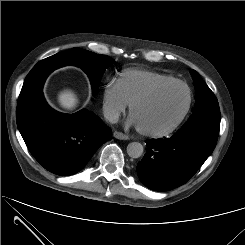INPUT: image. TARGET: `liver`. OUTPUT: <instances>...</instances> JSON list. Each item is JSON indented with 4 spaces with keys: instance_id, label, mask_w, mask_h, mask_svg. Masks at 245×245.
Listing matches in <instances>:
<instances>
[{
    "instance_id": "6515ba94",
    "label": "liver",
    "mask_w": 245,
    "mask_h": 245,
    "mask_svg": "<svg viewBox=\"0 0 245 245\" xmlns=\"http://www.w3.org/2000/svg\"><path fill=\"white\" fill-rule=\"evenodd\" d=\"M60 106L66 110H73L77 107L79 99L77 94L71 89H64L58 94Z\"/></svg>"
}]
</instances>
